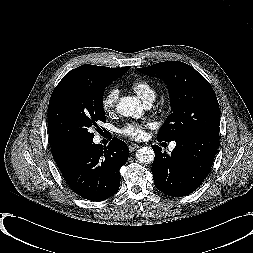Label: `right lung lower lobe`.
I'll return each instance as SVG.
<instances>
[{"label":"right lung lower lobe","instance_id":"obj_1","mask_svg":"<svg viewBox=\"0 0 253 253\" xmlns=\"http://www.w3.org/2000/svg\"><path fill=\"white\" fill-rule=\"evenodd\" d=\"M128 156V146L118 138H113L107 148L92 141L78 147L60 171L76 194L91 201H102L119 190V170Z\"/></svg>","mask_w":253,"mask_h":253}]
</instances>
